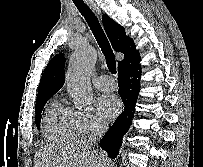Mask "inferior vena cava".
I'll use <instances>...</instances> for the list:
<instances>
[{"label": "inferior vena cava", "mask_w": 203, "mask_h": 167, "mask_svg": "<svg viewBox=\"0 0 203 167\" xmlns=\"http://www.w3.org/2000/svg\"><path fill=\"white\" fill-rule=\"evenodd\" d=\"M106 130L107 125L96 123L95 128L87 139V143L90 145L95 144V142L102 137Z\"/></svg>", "instance_id": "1"}]
</instances>
